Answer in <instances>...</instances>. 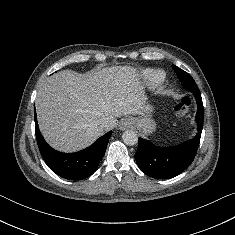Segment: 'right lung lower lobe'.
<instances>
[{
    "mask_svg": "<svg viewBox=\"0 0 235 235\" xmlns=\"http://www.w3.org/2000/svg\"><path fill=\"white\" fill-rule=\"evenodd\" d=\"M35 134L42 157L48 167L57 175L68 180H82L94 173L103 158L112 131L106 133L90 147L76 153H61L51 148L40 134L36 113Z\"/></svg>",
    "mask_w": 235,
    "mask_h": 235,
    "instance_id": "obj_1",
    "label": "right lung lower lobe"
}]
</instances>
